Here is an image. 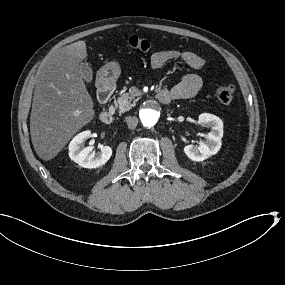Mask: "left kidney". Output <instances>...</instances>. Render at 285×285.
I'll use <instances>...</instances> for the list:
<instances>
[{"label":"left kidney","instance_id":"1","mask_svg":"<svg viewBox=\"0 0 285 285\" xmlns=\"http://www.w3.org/2000/svg\"><path fill=\"white\" fill-rule=\"evenodd\" d=\"M199 121L211 127V133L205 134L196 149L192 145L183 147V153L194 162H201L209 159L218 153L221 148L223 137V123L220 118L211 114H201Z\"/></svg>","mask_w":285,"mask_h":285}]
</instances>
